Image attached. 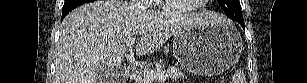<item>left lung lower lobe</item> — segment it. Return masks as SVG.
Masks as SVG:
<instances>
[{
  "label": "left lung lower lobe",
  "mask_w": 307,
  "mask_h": 83,
  "mask_svg": "<svg viewBox=\"0 0 307 83\" xmlns=\"http://www.w3.org/2000/svg\"><path fill=\"white\" fill-rule=\"evenodd\" d=\"M244 28V21H237Z\"/></svg>",
  "instance_id": "1"
}]
</instances>
